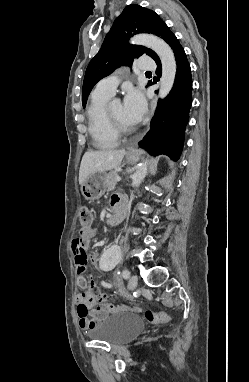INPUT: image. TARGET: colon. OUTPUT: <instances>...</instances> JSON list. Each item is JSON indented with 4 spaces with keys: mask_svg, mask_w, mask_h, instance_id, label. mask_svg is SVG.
<instances>
[{
    "mask_svg": "<svg viewBox=\"0 0 249 382\" xmlns=\"http://www.w3.org/2000/svg\"><path fill=\"white\" fill-rule=\"evenodd\" d=\"M93 220V213L92 210L88 207H81L79 209V222L82 226V228L86 229L89 228ZM75 263L77 265V274H76V281L77 282H84L86 280V277L83 275L87 271L88 268V252L86 248H72ZM96 274L94 272H89L87 276V281L91 282L90 284V290L92 294L94 295L96 301L105 306L107 309H109L112 312H117L122 308H129L136 312L142 313L144 319L149 323H168L171 321V317L164 313V312H153L151 310H144L140 307H134V306H120L115 305L109 301V297L106 294L101 293L96 285L93 283L95 281Z\"/></svg>",
    "mask_w": 249,
    "mask_h": 382,
    "instance_id": "colon-1",
    "label": "colon"
}]
</instances>
